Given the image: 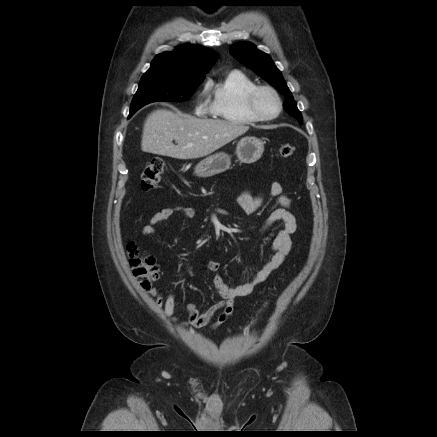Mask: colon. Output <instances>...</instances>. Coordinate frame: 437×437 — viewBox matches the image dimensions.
<instances>
[{
	"label": "colon",
	"instance_id": "obj_1",
	"mask_svg": "<svg viewBox=\"0 0 437 437\" xmlns=\"http://www.w3.org/2000/svg\"><path fill=\"white\" fill-rule=\"evenodd\" d=\"M295 147L284 144L279 147L281 157L287 158L295 154ZM165 163L162 158H153L144 168L141 175V189L149 192L158 186L162 174L164 173ZM129 262L133 275L137 279L140 287L146 291L152 289L153 283L159 278V271L155 259L151 256L141 255L139 248L134 243H129L127 247ZM267 305H265V308ZM262 310L260 313H262ZM261 315V314H260ZM260 315L257 316L251 325L258 322Z\"/></svg>",
	"mask_w": 437,
	"mask_h": 437
}]
</instances>
